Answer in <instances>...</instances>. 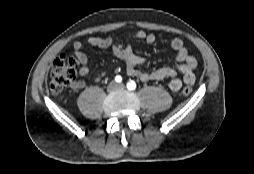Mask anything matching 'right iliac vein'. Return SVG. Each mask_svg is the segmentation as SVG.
Instances as JSON below:
<instances>
[{"label": "right iliac vein", "mask_w": 254, "mask_h": 174, "mask_svg": "<svg viewBox=\"0 0 254 174\" xmlns=\"http://www.w3.org/2000/svg\"><path fill=\"white\" fill-rule=\"evenodd\" d=\"M115 89V83H111L110 85H109V87H108V90L109 91H112V90H114Z\"/></svg>", "instance_id": "1"}]
</instances>
